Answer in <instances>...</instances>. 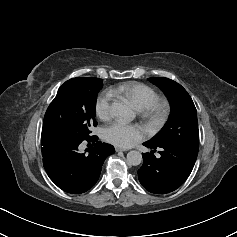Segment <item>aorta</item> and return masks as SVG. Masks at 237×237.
I'll return each mask as SVG.
<instances>
[{
    "instance_id": "obj_1",
    "label": "aorta",
    "mask_w": 237,
    "mask_h": 237,
    "mask_svg": "<svg viewBox=\"0 0 237 237\" xmlns=\"http://www.w3.org/2000/svg\"><path fill=\"white\" fill-rule=\"evenodd\" d=\"M111 108L117 117L125 121H131L135 116L130 106L123 102H114ZM142 160L143 157L139 151L132 150L127 153V163L129 165L137 166L142 162Z\"/></svg>"
}]
</instances>
